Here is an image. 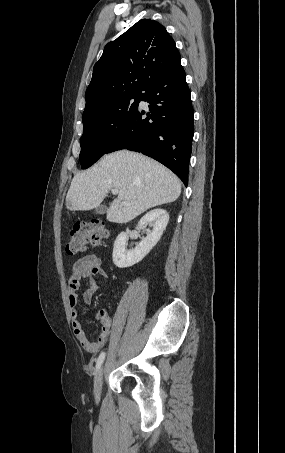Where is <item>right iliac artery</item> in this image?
Returning a JSON list of instances; mask_svg holds the SVG:
<instances>
[{
    "instance_id": "obj_1",
    "label": "right iliac artery",
    "mask_w": 285,
    "mask_h": 453,
    "mask_svg": "<svg viewBox=\"0 0 285 453\" xmlns=\"http://www.w3.org/2000/svg\"><path fill=\"white\" fill-rule=\"evenodd\" d=\"M104 359H105V352H102L99 355V357H98V359L96 361V370H98L100 368V366L102 365Z\"/></svg>"
}]
</instances>
